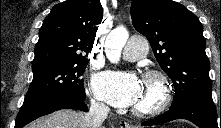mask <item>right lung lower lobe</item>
I'll list each match as a JSON object with an SVG mask.
<instances>
[{
    "instance_id": "1",
    "label": "right lung lower lobe",
    "mask_w": 221,
    "mask_h": 128,
    "mask_svg": "<svg viewBox=\"0 0 221 128\" xmlns=\"http://www.w3.org/2000/svg\"><path fill=\"white\" fill-rule=\"evenodd\" d=\"M85 98L67 92H56L36 99L24 101L15 123V128H22L38 117L50 114L59 109H77L88 111Z\"/></svg>"
}]
</instances>
